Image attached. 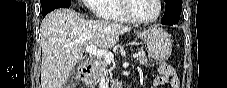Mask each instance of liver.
<instances>
[{
    "label": "liver",
    "mask_w": 227,
    "mask_h": 88,
    "mask_svg": "<svg viewBox=\"0 0 227 88\" xmlns=\"http://www.w3.org/2000/svg\"><path fill=\"white\" fill-rule=\"evenodd\" d=\"M131 27L104 20H85L71 9L49 13L40 26L42 88H62L82 59V48L110 49Z\"/></svg>",
    "instance_id": "1"
}]
</instances>
